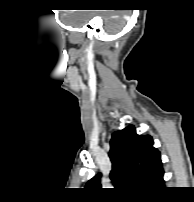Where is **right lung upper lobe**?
<instances>
[{"label":"right lung upper lobe","mask_w":194,"mask_h":202,"mask_svg":"<svg viewBox=\"0 0 194 202\" xmlns=\"http://www.w3.org/2000/svg\"><path fill=\"white\" fill-rule=\"evenodd\" d=\"M109 157L110 179L118 189L127 188L139 195L153 194L164 188V170L160 152L150 135H138L133 125L112 134ZM99 173L87 186L100 189Z\"/></svg>","instance_id":"obj_1"}]
</instances>
